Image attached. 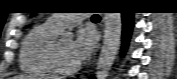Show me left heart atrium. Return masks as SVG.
Returning a JSON list of instances; mask_svg holds the SVG:
<instances>
[{
    "label": "left heart atrium",
    "mask_w": 177,
    "mask_h": 79,
    "mask_svg": "<svg viewBox=\"0 0 177 79\" xmlns=\"http://www.w3.org/2000/svg\"><path fill=\"white\" fill-rule=\"evenodd\" d=\"M95 45L94 34L89 31L81 30L77 33L71 45V53L77 63L86 60Z\"/></svg>",
    "instance_id": "obj_1"
}]
</instances>
